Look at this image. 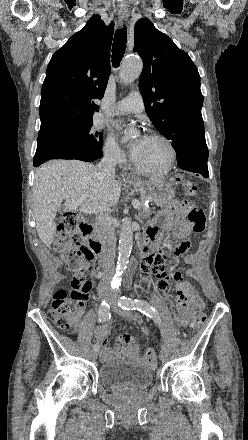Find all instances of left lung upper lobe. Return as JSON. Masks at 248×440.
Wrapping results in <instances>:
<instances>
[{"label":"left lung upper lobe","instance_id":"obj_1","mask_svg":"<svg viewBox=\"0 0 248 440\" xmlns=\"http://www.w3.org/2000/svg\"><path fill=\"white\" fill-rule=\"evenodd\" d=\"M134 51L143 60L139 89L157 130L172 141L178 163L208 158L200 76L189 55L147 18L135 24Z\"/></svg>","mask_w":248,"mask_h":440}]
</instances>
